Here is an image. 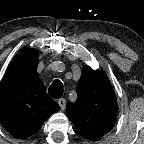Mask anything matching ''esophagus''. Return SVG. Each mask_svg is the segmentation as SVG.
Returning a JSON list of instances; mask_svg holds the SVG:
<instances>
[{
    "mask_svg": "<svg viewBox=\"0 0 144 144\" xmlns=\"http://www.w3.org/2000/svg\"><path fill=\"white\" fill-rule=\"evenodd\" d=\"M58 104H59L61 110H64V109H65V106H66V100H65L64 98H60V99L58 100Z\"/></svg>",
    "mask_w": 144,
    "mask_h": 144,
    "instance_id": "34e87169",
    "label": "esophagus"
}]
</instances>
